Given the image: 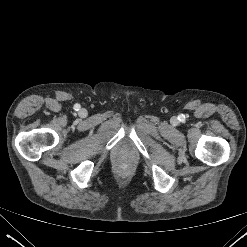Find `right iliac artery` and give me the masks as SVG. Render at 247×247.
<instances>
[{"mask_svg":"<svg viewBox=\"0 0 247 247\" xmlns=\"http://www.w3.org/2000/svg\"><path fill=\"white\" fill-rule=\"evenodd\" d=\"M79 107H80V106L77 105V106H76V110H79Z\"/></svg>","mask_w":247,"mask_h":247,"instance_id":"right-iliac-artery-1","label":"right iliac artery"}]
</instances>
